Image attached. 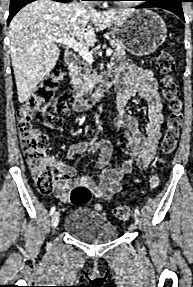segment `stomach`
Instances as JSON below:
<instances>
[{
    "label": "stomach",
    "mask_w": 193,
    "mask_h": 287,
    "mask_svg": "<svg viewBox=\"0 0 193 287\" xmlns=\"http://www.w3.org/2000/svg\"><path fill=\"white\" fill-rule=\"evenodd\" d=\"M116 42H121L133 55L146 56L153 53L167 36L163 19L147 9L134 11L119 20L112 31Z\"/></svg>",
    "instance_id": "obj_1"
}]
</instances>
